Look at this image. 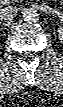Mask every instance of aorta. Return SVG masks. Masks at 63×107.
Instances as JSON below:
<instances>
[{
	"instance_id": "762f6f07",
	"label": "aorta",
	"mask_w": 63,
	"mask_h": 107,
	"mask_svg": "<svg viewBox=\"0 0 63 107\" xmlns=\"http://www.w3.org/2000/svg\"><path fill=\"white\" fill-rule=\"evenodd\" d=\"M23 19L27 23H36L39 19L38 11L34 8H26L23 11Z\"/></svg>"
}]
</instances>
